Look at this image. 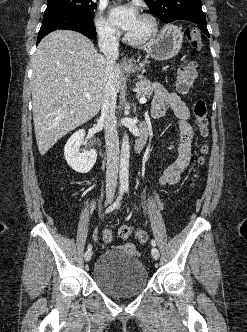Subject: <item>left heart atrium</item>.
<instances>
[{"instance_id":"obj_1","label":"left heart atrium","mask_w":247,"mask_h":332,"mask_svg":"<svg viewBox=\"0 0 247 332\" xmlns=\"http://www.w3.org/2000/svg\"><path fill=\"white\" fill-rule=\"evenodd\" d=\"M111 21L121 30L129 32L136 24L139 16L134 6H114L110 9Z\"/></svg>"}]
</instances>
